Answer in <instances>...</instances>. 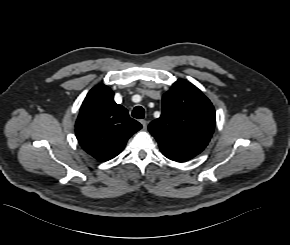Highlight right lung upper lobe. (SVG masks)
Listing matches in <instances>:
<instances>
[{
  "instance_id": "cb5924a9",
  "label": "right lung upper lobe",
  "mask_w": 290,
  "mask_h": 245,
  "mask_svg": "<svg viewBox=\"0 0 290 245\" xmlns=\"http://www.w3.org/2000/svg\"><path fill=\"white\" fill-rule=\"evenodd\" d=\"M113 98L114 93L106 85L92 88L82 103L75 124L79 144L99 161L117 156L130 136L142 128Z\"/></svg>"
}]
</instances>
